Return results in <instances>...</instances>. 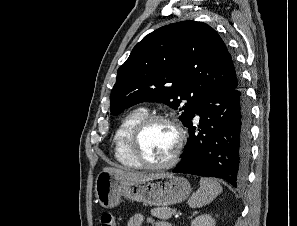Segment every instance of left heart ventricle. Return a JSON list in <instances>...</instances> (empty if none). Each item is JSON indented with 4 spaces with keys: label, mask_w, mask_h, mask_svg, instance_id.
<instances>
[{
    "label": "left heart ventricle",
    "mask_w": 297,
    "mask_h": 226,
    "mask_svg": "<svg viewBox=\"0 0 297 226\" xmlns=\"http://www.w3.org/2000/svg\"><path fill=\"white\" fill-rule=\"evenodd\" d=\"M177 143L174 128L165 122L151 123L140 139V152L150 163H162L173 154Z\"/></svg>",
    "instance_id": "1"
}]
</instances>
